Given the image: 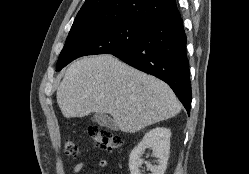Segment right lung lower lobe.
Returning a JSON list of instances; mask_svg holds the SVG:
<instances>
[{
  "label": "right lung lower lobe",
  "mask_w": 249,
  "mask_h": 174,
  "mask_svg": "<svg viewBox=\"0 0 249 174\" xmlns=\"http://www.w3.org/2000/svg\"><path fill=\"white\" fill-rule=\"evenodd\" d=\"M186 40L183 21L177 13L147 21L142 36L133 45L111 54L165 81L189 114L192 93Z\"/></svg>",
  "instance_id": "right-lung-lower-lobe-1"
}]
</instances>
